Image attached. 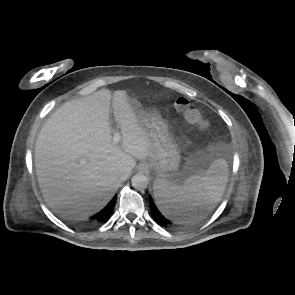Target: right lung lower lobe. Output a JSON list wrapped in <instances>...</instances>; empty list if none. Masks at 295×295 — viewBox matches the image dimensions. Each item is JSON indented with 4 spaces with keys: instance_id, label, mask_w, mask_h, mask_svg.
I'll return each instance as SVG.
<instances>
[{
    "instance_id": "right-lung-lower-lobe-1",
    "label": "right lung lower lobe",
    "mask_w": 295,
    "mask_h": 295,
    "mask_svg": "<svg viewBox=\"0 0 295 295\" xmlns=\"http://www.w3.org/2000/svg\"><path fill=\"white\" fill-rule=\"evenodd\" d=\"M115 202H116V198H114L112 200V202L108 205V207L105 210H103V211L99 212L98 214L94 215L93 217H91L89 222L91 224L106 222L109 219V217L114 209Z\"/></svg>"
}]
</instances>
